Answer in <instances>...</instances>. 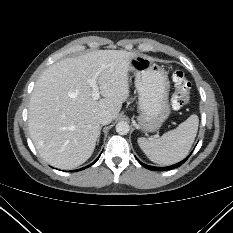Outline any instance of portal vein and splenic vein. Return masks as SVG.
<instances>
[{"instance_id": "18ae733b", "label": "portal vein and splenic vein", "mask_w": 233, "mask_h": 233, "mask_svg": "<svg viewBox=\"0 0 233 233\" xmlns=\"http://www.w3.org/2000/svg\"><path fill=\"white\" fill-rule=\"evenodd\" d=\"M88 84L90 85V87L92 88V97L94 100H98L100 98V91H99V87L97 85L96 82V78H90L87 80Z\"/></svg>"}]
</instances>
